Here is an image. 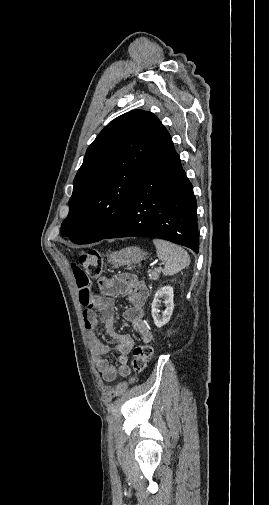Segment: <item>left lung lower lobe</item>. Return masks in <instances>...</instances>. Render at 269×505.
<instances>
[{"mask_svg": "<svg viewBox=\"0 0 269 505\" xmlns=\"http://www.w3.org/2000/svg\"><path fill=\"white\" fill-rule=\"evenodd\" d=\"M197 202L170 134L160 129L115 228L103 239L153 237L199 251Z\"/></svg>", "mask_w": 269, "mask_h": 505, "instance_id": "0a47b994", "label": "left lung lower lobe"}]
</instances>
